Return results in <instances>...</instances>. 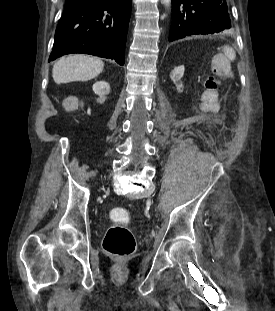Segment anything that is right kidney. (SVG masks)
<instances>
[{"instance_id": "1", "label": "right kidney", "mask_w": 275, "mask_h": 311, "mask_svg": "<svg viewBox=\"0 0 275 311\" xmlns=\"http://www.w3.org/2000/svg\"><path fill=\"white\" fill-rule=\"evenodd\" d=\"M111 89V86L106 81H97L93 85V91L95 94L99 96L98 104L99 105H106L107 100L111 98V95L109 94Z\"/></svg>"}]
</instances>
